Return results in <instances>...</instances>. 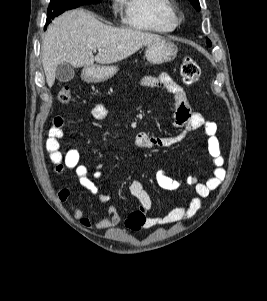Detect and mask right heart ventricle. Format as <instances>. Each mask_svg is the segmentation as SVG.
<instances>
[{
  "label": "right heart ventricle",
  "mask_w": 267,
  "mask_h": 301,
  "mask_svg": "<svg viewBox=\"0 0 267 301\" xmlns=\"http://www.w3.org/2000/svg\"><path fill=\"white\" fill-rule=\"evenodd\" d=\"M123 23L134 30L166 33L175 30L177 18L171 0H116Z\"/></svg>",
  "instance_id": "1"
}]
</instances>
